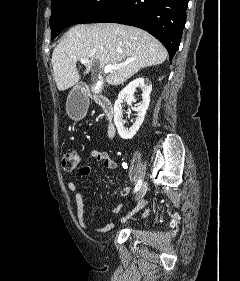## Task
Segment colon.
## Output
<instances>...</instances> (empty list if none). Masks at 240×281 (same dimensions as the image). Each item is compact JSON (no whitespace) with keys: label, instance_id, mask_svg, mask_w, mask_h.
I'll return each mask as SVG.
<instances>
[{"label":"colon","instance_id":"5ec220e1","mask_svg":"<svg viewBox=\"0 0 240 281\" xmlns=\"http://www.w3.org/2000/svg\"><path fill=\"white\" fill-rule=\"evenodd\" d=\"M82 163L79 152L75 149H69L65 152L62 158V167L66 171H73L80 167Z\"/></svg>","mask_w":240,"mask_h":281}]
</instances>
